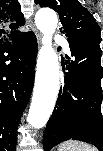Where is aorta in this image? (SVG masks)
Returning <instances> with one entry per match:
<instances>
[{
    "instance_id": "762f6f07",
    "label": "aorta",
    "mask_w": 103,
    "mask_h": 151,
    "mask_svg": "<svg viewBox=\"0 0 103 151\" xmlns=\"http://www.w3.org/2000/svg\"><path fill=\"white\" fill-rule=\"evenodd\" d=\"M35 23L44 36L38 53L34 93L27 121L34 128H42L53 112L59 92V61L52 47V35L58 24L57 14L51 9H40L35 15Z\"/></svg>"
}]
</instances>
